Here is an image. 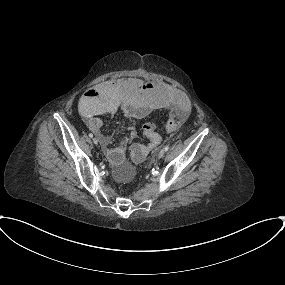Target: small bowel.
I'll return each instance as SVG.
<instances>
[{
    "label": "small bowel",
    "instance_id": "obj_1",
    "mask_svg": "<svg viewBox=\"0 0 285 285\" xmlns=\"http://www.w3.org/2000/svg\"><path fill=\"white\" fill-rule=\"evenodd\" d=\"M158 108H167L170 118L184 122L192 110V103L162 81L144 82L137 78L107 81L84 93L79 100V110L89 130L96 135L103 152L115 168L125 159L126 144L137 137L134 121L147 117ZM118 110L130 121V126L127 136L111 148L110 137L102 131L100 116Z\"/></svg>",
    "mask_w": 285,
    "mask_h": 285
}]
</instances>
